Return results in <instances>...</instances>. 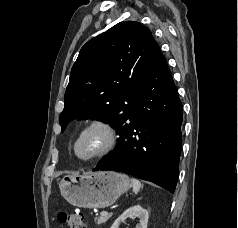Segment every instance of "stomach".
Instances as JSON below:
<instances>
[{"label": "stomach", "instance_id": "0dacf381", "mask_svg": "<svg viewBox=\"0 0 238 228\" xmlns=\"http://www.w3.org/2000/svg\"><path fill=\"white\" fill-rule=\"evenodd\" d=\"M59 188L62 196L73 206L81 208H105L130 188L124 174L101 171L85 175H66Z\"/></svg>", "mask_w": 238, "mask_h": 228}]
</instances>
